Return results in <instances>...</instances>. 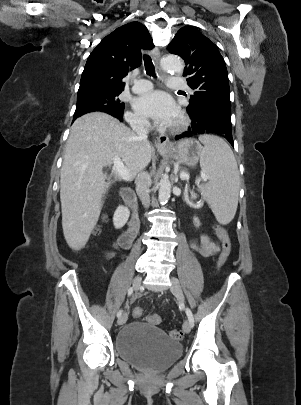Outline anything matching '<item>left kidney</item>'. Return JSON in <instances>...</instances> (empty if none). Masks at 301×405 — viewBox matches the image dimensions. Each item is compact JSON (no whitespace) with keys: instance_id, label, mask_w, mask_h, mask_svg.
<instances>
[{"instance_id":"left-kidney-1","label":"left kidney","mask_w":301,"mask_h":405,"mask_svg":"<svg viewBox=\"0 0 301 405\" xmlns=\"http://www.w3.org/2000/svg\"><path fill=\"white\" fill-rule=\"evenodd\" d=\"M193 222H194L195 226H200V221H199V219L197 217L193 218Z\"/></svg>"}]
</instances>
